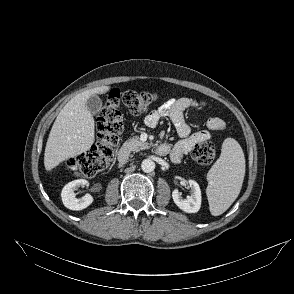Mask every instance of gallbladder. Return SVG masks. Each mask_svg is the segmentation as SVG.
Listing matches in <instances>:
<instances>
[{
  "label": "gallbladder",
  "instance_id": "1",
  "mask_svg": "<svg viewBox=\"0 0 294 294\" xmlns=\"http://www.w3.org/2000/svg\"><path fill=\"white\" fill-rule=\"evenodd\" d=\"M102 107V101L97 95H92L86 102V108L92 113L96 114Z\"/></svg>",
  "mask_w": 294,
  "mask_h": 294
}]
</instances>
